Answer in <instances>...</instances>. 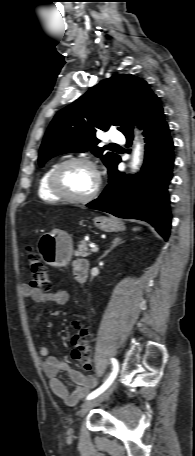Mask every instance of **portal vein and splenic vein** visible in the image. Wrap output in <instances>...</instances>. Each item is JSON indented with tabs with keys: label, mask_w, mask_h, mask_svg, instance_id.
<instances>
[{
	"label": "portal vein and splenic vein",
	"mask_w": 195,
	"mask_h": 456,
	"mask_svg": "<svg viewBox=\"0 0 195 456\" xmlns=\"http://www.w3.org/2000/svg\"><path fill=\"white\" fill-rule=\"evenodd\" d=\"M98 250H99V248H98V247H92V248H91V251H92L93 253H96V252H98Z\"/></svg>",
	"instance_id": "18ae733b"
}]
</instances>
